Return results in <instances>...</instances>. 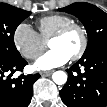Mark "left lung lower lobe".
Listing matches in <instances>:
<instances>
[{
  "label": "left lung lower lobe",
  "instance_id": "left-lung-lower-lobe-1",
  "mask_svg": "<svg viewBox=\"0 0 107 107\" xmlns=\"http://www.w3.org/2000/svg\"><path fill=\"white\" fill-rule=\"evenodd\" d=\"M80 66L84 67L83 73ZM67 72V83L60 90L67 107L107 106V46L83 56Z\"/></svg>",
  "mask_w": 107,
  "mask_h": 107
}]
</instances>
